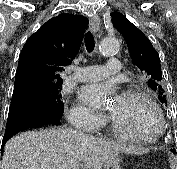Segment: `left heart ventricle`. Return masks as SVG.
<instances>
[{"mask_svg":"<svg viewBox=\"0 0 177 169\" xmlns=\"http://www.w3.org/2000/svg\"><path fill=\"white\" fill-rule=\"evenodd\" d=\"M110 114L134 135H154L161 123L157 112L143 98L120 95L112 103Z\"/></svg>","mask_w":177,"mask_h":169,"instance_id":"obj_1","label":"left heart ventricle"}]
</instances>
